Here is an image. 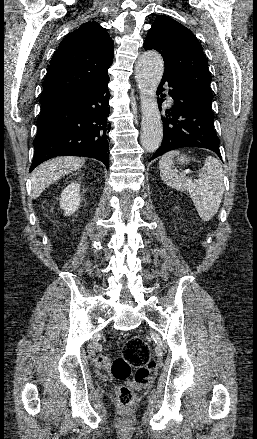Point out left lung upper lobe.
Returning a JSON list of instances; mask_svg holds the SVG:
<instances>
[{
  "label": "left lung upper lobe",
  "instance_id": "1",
  "mask_svg": "<svg viewBox=\"0 0 257 439\" xmlns=\"http://www.w3.org/2000/svg\"><path fill=\"white\" fill-rule=\"evenodd\" d=\"M144 48L161 53L165 63L164 75L183 82L212 102L208 62L201 44L188 28L170 17L160 15L147 34Z\"/></svg>",
  "mask_w": 257,
  "mask_h": 439
}]
</instances>
